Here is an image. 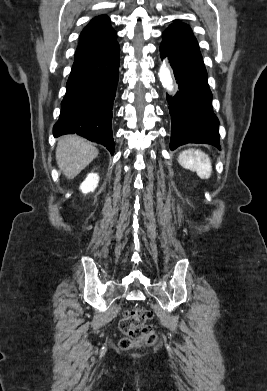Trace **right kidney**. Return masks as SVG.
I'll return each mask as SVG.
<instances>
[{
	"mask_svg": "<svg viewBox=\"0 0 267 391\" xmlns=\"http://www.w3.org/2000/svg\"><path fill=\"white\" fill-rule=\"evenodd\" d=\"M99 182V176L97 173H90L87 175L86 179L80 185V190L83 193L93 192L97 187Z\"/></svg>",
	"mask_w": 267,
	"mask_h": 391,
	"instance_id": "right-kidney-1",
	"label": "right kidney"
}]
</instances>
